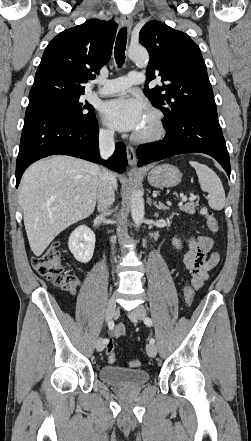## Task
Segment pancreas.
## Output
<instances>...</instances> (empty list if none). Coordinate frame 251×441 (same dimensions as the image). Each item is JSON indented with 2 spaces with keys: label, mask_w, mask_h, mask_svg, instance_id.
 <instances>
[{
  "label": "pancreas",
  "mask_w": 251,
  "mask_h": 441,
  "mask_svg": "<svg viewBox=\"0 0 251 441\" xmlns=\"http://www.w3.org/2000/svg\"><path fill=\"white\" fill-rule=\"evenodd\" d=\"M196 206H198V203L188 202L185 205L181 206L180 210L193 215L195 214Z\"/></svg>",
  "instance_id": "pancreas-1"
}]
</instances>
